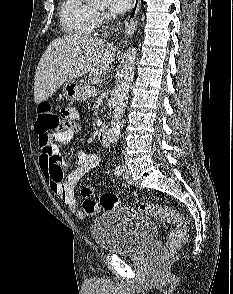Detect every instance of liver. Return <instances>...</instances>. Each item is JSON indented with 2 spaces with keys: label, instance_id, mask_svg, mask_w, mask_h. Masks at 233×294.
Masks as SVG:
<instances>
[{
  "label": "liver",
  "instance_id": "6515ba94",
  "mask_svg": "<svg viewBox=\"0 0 233 294\" xmlns=\"http://www.w3.org/2000/svg\"><path fill=\"white\" fill-rule=\"evenodd\" d=\"M117 48L103 39L64 36L53 40L43 53L35 73L37 105L52 96L67 80L105 74L115 61Z\"/></svg>",
  "mask_w": 233,
  "mask_h": 294
}]
</instances>
